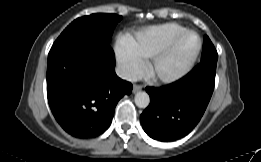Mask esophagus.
Listing matches in <instances>:
<instances>
[{
	"instance_id": "esophagus-1",
	"label": "esophagus",
	"mask_w": 261,
	"mask_h": 162,
	"mask_svg": "<svg viewBox=\"0 0 261 162\" xmlns=\"http://www.w3.org/2000/svg\"><path fill=\"white\" fill-rule=\"evenodd\" d=\"M141 89H142V86H140V85H134L132 92H133V93H136V92H139Z\"/></svg>"
}]
</instances>
